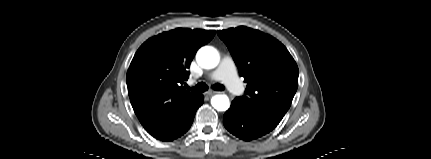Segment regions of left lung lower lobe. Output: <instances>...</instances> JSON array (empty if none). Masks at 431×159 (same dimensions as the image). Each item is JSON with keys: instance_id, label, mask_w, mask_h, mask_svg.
<instances>
[{"instance_id": "obj_1", "label": "left lung lower lobe", "mask_w": 431, "mask_h": 159, "mask_svg": "<svg viewBox=\"0 0 431 159\" xmlns=\"http://www.w3.org/2000/svg\"><path fill=\"white\" fill-rule=\"evenodd\" d=\"M281 119L246 107L239 99H234L230 109L223 116L226 129L236 137L250 141L272 131Z\"/></svg>"}]
</instances>
